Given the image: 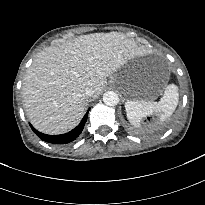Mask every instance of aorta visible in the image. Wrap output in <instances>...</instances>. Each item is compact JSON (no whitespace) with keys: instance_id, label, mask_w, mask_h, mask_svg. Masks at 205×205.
I'll list each match as a JSON object with an SVG mask.
<instances>
[{"instance_id":"aorta-1","label":"aorta","mask_w":205,"mask_h":205,"mask_svg":"<svg viewBox=\"0 0 205 205\" xmlns=\"http://www.w3.org/2000/svg\"><path fill=\"white\" fill-rule=\"evenodd\" d=\"M103 102L107 106H116L119 103V97L117 93L108 91L103 94Z\"/></svg>"}]
</instances>
